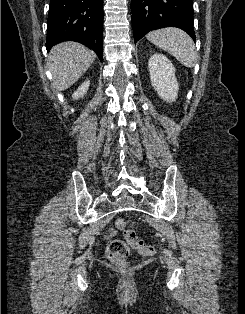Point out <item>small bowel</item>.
Listing matches in <instances>:
<instances>
[{"instance_id": "small-bowel-1", "label": "small bowel", "mask_w": 245, "mask_h": 314, "mask_svg": "<svg viewBox=\"0 0 245 314\" xmlns=\"http://www.w3.org/2000/svg\"><path fill=\"white\" fill-rule=\"evenodd\" d=\"M113 234H114V231H113V230H110V232H109V234H108V237L113 236Z\"/></svg>"}]
</instances>
